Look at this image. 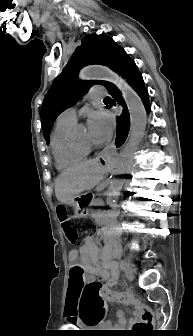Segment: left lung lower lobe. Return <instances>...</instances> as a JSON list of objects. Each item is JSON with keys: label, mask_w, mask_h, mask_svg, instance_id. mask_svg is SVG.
<instances>
[{"label": "left lung lower lobe", "mask_w": 193, "mask_h": 336, "mask_svg": "<svg viewBox=\"0 0 193 336\" xmlns=\"http://www.w3.org/2000/svg\"><path fill=\"white\" fill-rule=\"evenodd\" d=\"M115 71L120 74L126 81L135 89L139 97L141 98L147 112L150 111L149 95L144 86V81L141 73L134 61L122 50L116 61ZM109 94L114 98L113 101L117 102L123 107V113L117 117V136L116 145L121 146L129 133L130 128V116L126 103L124 102L121 93L113 84H109L107 87ZM123 177H127L124 175Z\"/></svg>", "instance_id": "0a47b994"}]
</instances>
